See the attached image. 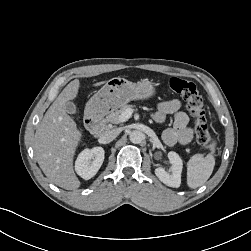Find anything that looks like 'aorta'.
<instances>
[{
  "instance_id": "762f6f07",
  "label": "aorta",
  "mask_w": 251,
  "mask_h": 251,
  "mask_svg": "<svg viewBox=\"0 0 251 251\" xmlns=\"http://www.w3.org/2000/svg\"><path fill=\"white\" fill-rule=\"evenodd\" d=\"M145 138L143 132L134 130L129 134V139L133 144H140Z\"/></svg>"
}]
</instances>
